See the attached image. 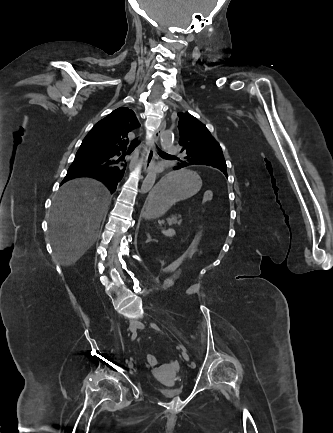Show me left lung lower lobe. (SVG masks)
<instances>
[{
  "mask_svg": "<svg viewBox=\"0 0 333 433\" xmlns=\"http://www.w3.org/2000/svg\"><path fill=\"white\" fill-rule=\"evenodd\" d=\"M154 205H155L154 200L148 199L146 201V204H145V207H144L145 215H147L149 212H151L153 210Z\"/></svg>",
  "mask_w": 333,
  "mask_h": 433,
  "instance_id": "obj_1",
  "label": "left lung lower lobe"
}]
</instances>
